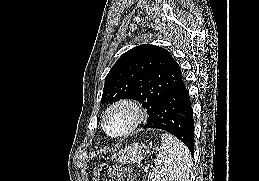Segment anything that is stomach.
Masks as SVG:
<instances>
[{"mask_svg": "<svg viewBox=\"0 0 259 181\" xmlns=\"http://www.w3.org/2000/svg\"><path fill=\"white\" fill-rule=\"evenodd\" d=\"M147 153L149 148L144 144L134 143L120 150L117 160L122 164L135 163L141 161Z\"/></svg>", "mask_w": 259, "mask_h": 181, "instance_id": "0dacf381", "label": "stomach"}]
</instances>
